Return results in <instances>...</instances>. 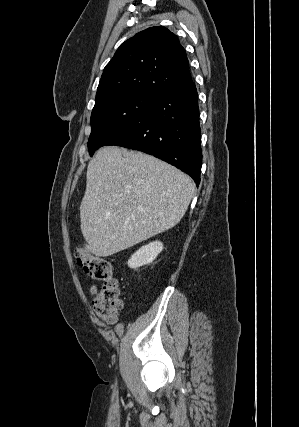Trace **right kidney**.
Returning a JSON list of instances; mask_svg holds the SVG:
<instances>
[{"label":"right kidney","instance_id":"right-kidney-1","mask_svg":"<svg viewBox=\"0 0 299 427\" xmlns=\"http://www.w3.org/2000/svg\"><path fill=\"white\" fill-rule=\"evenodd\" d=\"M163 250L160 241L151 242L137 250L128 260V266L137 269L143 265L152 263Z\"/></svg>","mask_w":299,"mask_h":427}]
</instances>
